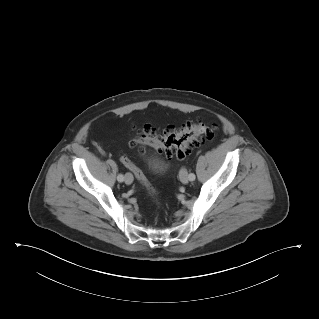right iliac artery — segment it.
Listing matches in <instances>:
<instances>
[{"label":"right iliac artery","mask_w":319,"mask_h":319,"mask_svg":"<svg viewBox=\"0 0 319 319\" xmlns=\"http://www.w3.org/2000/svg\"><path fill=\"white\" fill-rule=\"evenodd\" d=\"M117 180H118L119 182H123V181H124V176H123L122 174H119V175L117 176Z\"/></svg>","instance_id":"right-iliac-artery-1"}]
</instances>
